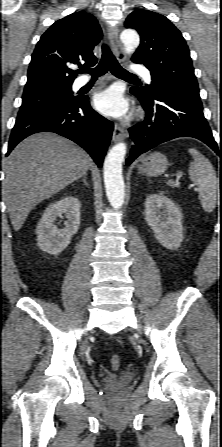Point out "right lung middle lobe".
<instances>
[{"instance_id": "dd1d6c3e", "label": "right lung middle lobe", "mask_w": 222, "mask_h": 447, "mask_svg": "<svg viewBox=\"0 0 222 447\" xmlns=\"http://www.w3.org/2000/svg\"><path fill=\"white\" fill-rule=\"evenodd\" d=\"M71 87L24 93L18 116H25L48 108L70 103L77 99Z\"/></svg>"}]
</instances>
